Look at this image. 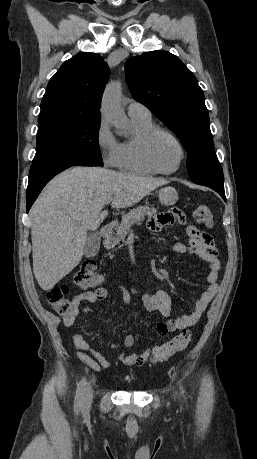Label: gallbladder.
I'll return each mask as SVG.
<instances>
[{"label": "gallbladder", "instance_id": "bac80fb5", "mask_svg": "<svg viewBox=\"0 0 257 459\" xmlns=\"http://www.w3.org/2000/svg\"><path fill=\"white\" fill-rule=\"evenodd\" d=\"M100 249V236L97 232L89 235L85 246H84V255L86 257H94L98 254Z\"/></svg>", "mask_w": 257, "mask_h": 459}]
</instances>
